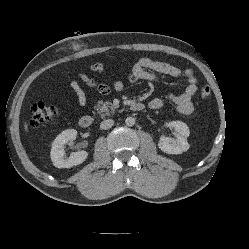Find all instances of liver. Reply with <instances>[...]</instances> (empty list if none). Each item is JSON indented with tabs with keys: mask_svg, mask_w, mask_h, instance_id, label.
Listing matches in <instances>:
<instances>
[{
	"mask_svg": "<svg viewBox=\"0 0 249 249\" xmlns=\"http://www.w3.org/2000/svg\"><path fill=\"white\" fill-rule=\"evenodd\" d=\"M25 130L28 131V125L25 123Z\"/></svg>",
	"mask_w": 249,
	"mask_h": 249,
	"instance_id": "obj_1",
	"label": "liver"
}]
</instances>
